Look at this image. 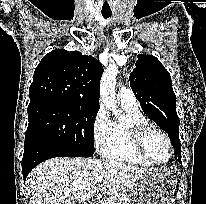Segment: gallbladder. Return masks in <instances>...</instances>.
Here are the masks:
<instances>
[{
    "label": "gallbladder",
    "mask_w": 206,
    "mask_h": 204,
    "mask_svg": "<svg viewBox=\"0 0 206 204\" xmlns=\"http://www.w3.org/2000/svg\"><path fill=\"white\" fill-rule=\"evenodd\" d=\"M69 204H76V203H74V202L72 203V201H70V203H69Z\"/></svg>",
    "instance_id": "1"
}]
</instances>
